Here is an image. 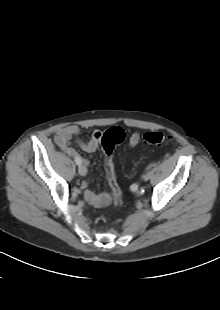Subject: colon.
Instances as JSON below:
<instances>
[{
	"mask_svg": "<svg viewBox=\"0 0 220 310\" xmlns=\"http://www.w3.org/2000/svg\"><path fill=\"white\" fill-rule=\"evenodd\" d=\"M125 140V132L120 127H111L106 130L100 139L102 149L106 157V170L110 187L112 189V201L116 205H120L121 189L117 182L115 163H114V149L117 145L121 144ZM170 140L169 135L166 132L161 131H149L144 135V141L152 145L165 144ZM110 200V199H109Z\"/></svg>",
	"mask_w": 220,
	"mask_h": 310,
	"instance_id": "5ec220e1",
	"label": "colon"
}]
</instances>
